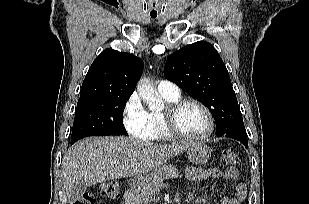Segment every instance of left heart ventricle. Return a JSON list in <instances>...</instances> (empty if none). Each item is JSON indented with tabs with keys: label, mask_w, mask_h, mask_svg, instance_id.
Wrapping results in <instances>:
<instances>
[{
	"label": "left heart ventricle",
	"mask_w": 309,
	"mask_h": 204,
	"mask_svg": "<svg viewBox=\"0 0 309 204\" xmlns=\"http://www.w3.org/2000/svg\"><path fill=\"white\" fill-rule=\"evenodd\" d=\"M177 126L187 135L200 136L208 129V119L200 107L187 104L178 113Z\"/></svg>",
	"instance_id": "left-heart-ventricle-1"
}]
</instances>
